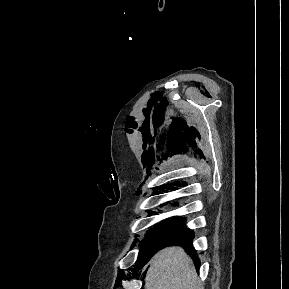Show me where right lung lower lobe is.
Listing matches in <instances>:
<instances>
[{"label":"right lung lower lobe","mask_w":289,"mask_h":289,"mask_svg":"<svg viewBox=\"0 0 289 289\" xmlns=\"http://www.w3.org/2000/svg\"><path fill=\"white\" fill-rule=\"evenodd\" d=\"M193 233L192 230H188L184 227L174 236H155L141 241L140 246H142V248L140 250L138 262L142 265L147 263L159 249L171 244L181 245L185 249L192 250ZM191 256L193 257L195 264L198 265L199 259L197 254L192 252Z\"/></svg>","instance_id":"1"}]
</instances>
